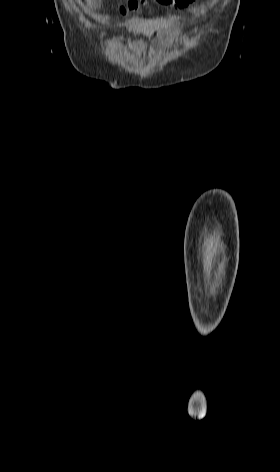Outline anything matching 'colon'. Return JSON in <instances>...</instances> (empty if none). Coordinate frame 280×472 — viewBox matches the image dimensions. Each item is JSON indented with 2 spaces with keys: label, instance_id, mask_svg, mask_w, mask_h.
I'll return each instance as SVG.
<instances>
[{
  "label": "colon",
  "instance_id": "1",
  "mask_svg": "<svg viewBox=\"0 0 280 472\" xmlns=\"http://www.w3.org/2000/svg\"><path fill=\"white\" fill-rule=\"evenodd\" d=\"M154 1L161 5H175L178 2H180L179 0H154ZM144 3H145V0H129V2L126 5L121 6L120 13L122 15H125L129 12L135 11Z\"/></svg>",
  "mask_w": 280,
  "mask_h": 472
}]
</instances>
